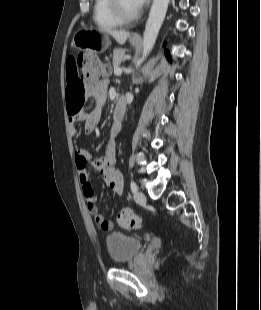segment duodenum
<instances>
[{
  "label": "duodenum",
  "mask_w": 261,
  "mask_h": 310,
  "mask_svg": "<svg viewBox=\"0 0 261 310\" xmlns=\"http://www.w3.org/2000/svg\"><path fill=\"white\" fill-rule=\"evenodd\" d=\"M126 111V101L124 98H120L114 108L113 117L115 124L120 127L121 121Z\"/></svg>",
  "instance_id": "obj_1"
}]
</instances>
